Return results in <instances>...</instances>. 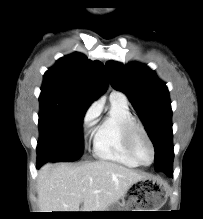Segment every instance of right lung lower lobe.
Segmentation results:
<instances>
[{
    "label": "right lung lower lobe",
    "mask_w": 203,
    "mask_h": 219,
    "mask_svg": "<svg viewBox=\"0 0 203 219\" xmlns=\"http://www.w3.org/2000/svg\"><path fill=\"white\" fill-rule=\"evenodd\" d=\"M43 164H41L40 162H37V167H41Z\"/></svg>",
    "instance_id": "right-lung-lower-lobe-1"
}]
</instances>
